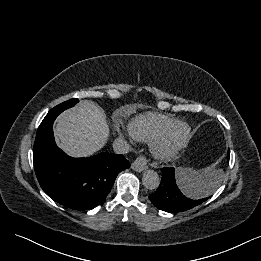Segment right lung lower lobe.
<instances>
[{
    "label": "right lung lower lobe",
    "instance_id": "obj_1",
    "mask_svg": "<svg viewBox=\"0 0 261 261\" xmlns=\"http://www.w3.org/2000/svg\"><path fill=\"white\" fill-rule=\"evenodd\" d=\"M60 113H48L40 124L33 148L34 169L40 186L58 203L90 210L109 194L115 178L130 167L123 155L102 152L89 158H71L57 147L53 122Z\"/></svg>",
    "mask_w": 261,
    "mask_h": 261
}]
</instances>
